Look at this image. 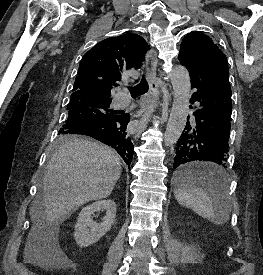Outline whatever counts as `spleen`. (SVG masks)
<instances>
[{
    "mask_svg": "<svg viewBox=\"0 0 263 275\" xmlns=\"http://www.w3.org/2000/svg\"><path fill=\"white\" fill-rule=\"evenodd\" d=\"M196 166L217 172L223 177L214 196H210L192 182H180L174 190V196L180 205L192 209L202 218L216 225L224 224L231 212L227 173L223 168L212 163L202 162Z\"/></svg>",
    "mask_w": 263,
    "mask_h": 275,
    "instance_id": "obj_1",
    "label": "spleen"
}]
</instances>
